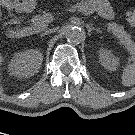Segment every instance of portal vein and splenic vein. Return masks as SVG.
<instances>
[{
    "label": "portal vein and splenic vein",
    "instance_id": "18ae733b",
    "mask_svg": "<svg viewBox=\"0 0 135 135\" xmlns=\"http://www.w3.org/2000/svg\"><path fill=\"white\" fill-rule=\"evenodd\" d=\"M70 11H72V12H76L75 10H70ZM77 13H79V12H77ZM53 19V17H51V20Z\"/></svg>",
    "mask_w": 135,
    "mask_h": 135
}]
</instances>
